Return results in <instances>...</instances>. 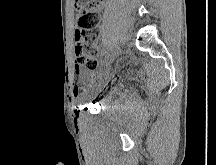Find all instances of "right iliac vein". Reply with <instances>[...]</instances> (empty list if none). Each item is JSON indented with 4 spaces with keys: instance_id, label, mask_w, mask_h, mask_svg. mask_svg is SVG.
Instances as JSON below:
<instances>
[{
    "instance_id": "63e3f726",
    "label": "right iliac vein",
    "mask_w": 216,
    "mask_h": 165,
    "mask_svg": "<svg viewBox=\"0 0 216 165\" xmlns=\"http://www.w3.org/2000/svg\"><path fill=\"white\" fill-rule=\"evenodd\" d=\"M119 53V48L117 47L115 50H114V53L111 55V58L109 59L110 60V63L111 64H114L115 63V56H117V54Z\"/></svg>"
}]
</instances>
